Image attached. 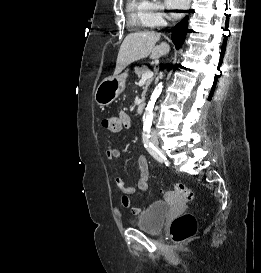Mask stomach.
Here are the masks:
<instances>
[{
  "label": "stomach",
  "mask_w": 261,
  "mask_h": 273,
  "mask_svg": "<svg viewBox=\"0 0 261 273\" xmlns=\"http://www.w3.org/2000/svg\"><path fill=\"white\" fill-rule=\"evenodd\" d=\"M128 74L106 77L96 88L94 94L95 102L100 106L111 104L125 89Z\"/></svg>",
  "instance_id": "1"
}]
</instances>
